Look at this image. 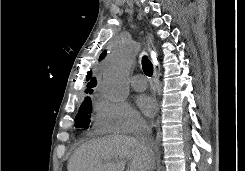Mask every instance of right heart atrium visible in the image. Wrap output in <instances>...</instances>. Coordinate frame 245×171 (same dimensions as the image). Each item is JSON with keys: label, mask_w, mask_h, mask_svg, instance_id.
I'll list each match as a JSON object with an SVG mask.
<instances>
[{"label": "right heart atrium", "mask_w": 245, "mask_h": 171, "mask_svg": "<svg viewBox=\"0 0 245 171\" xmlns=\"http://www.w3.org/2000/svg\"><path fill=\"white\" fill-rule=\"evenodd\" d=\"M145 128V121L132 106L105 96L96 99L94 129L101 134H130Z\"/></svg>", "instance_id": "d8ad5b80"}]
</instances>
